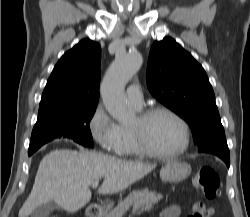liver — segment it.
I'll list each match as a JSON object with an SVG mask.
<instances>
[{"label":"liver","mask_w":250,"mask_h":217,"mask_svg":"<svg viewBox=\"0 0 250 217\" xmlns=\"http://www.w3.org/2000/svg\"><path fill=\"white\" fill-rule=\"evenodd\" d=\"M152 164L126 161L101 153L55 150L41 160L32 191L18 216L27 217L45 203L76 212L91 199V184L104 178L99 194L118 193L154 169Z\"/></svg>","instance_id":"6515ba94"}]
</instances>
